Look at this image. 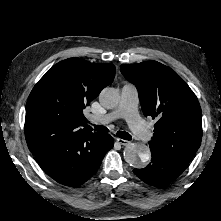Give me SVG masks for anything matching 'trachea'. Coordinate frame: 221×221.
I'll use <instances>...</instances> for the list:
<instances>
[{
    "mask_svg": "<svg viewBox=\"0 0 221 221\" xmlns=\"http://www.w3.org/2000/svg\"><path fill=\"white\" fill-rule=\"evenodd\" d=\"M94 130L98 131V132H103V133L109 132L108 128H106L105 126H101V125H94ZM116 135L119 138L124 139V140H131L132 139L131 135L127 132H124V131H118L116 133Z\"/></svg>",
    "mask_w": 221,
    "mask_h": 221,
    "instance_id": "3493384b",
    "label": "trachea"
}]
</instances>
